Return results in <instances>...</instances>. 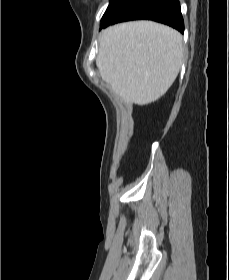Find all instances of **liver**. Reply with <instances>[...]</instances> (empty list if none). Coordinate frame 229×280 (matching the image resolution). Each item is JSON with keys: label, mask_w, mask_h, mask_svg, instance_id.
<instances>
[{"label": "liver", "mask_w": 229, "mask_h": 280, "mask_svg": "<svg viewBox=\"0 0 229 280\" xmlns=\"http://www.w3.org/2000/svg\"><path fill=\"white\" fill-rule=\"evenodd\" d=\"M182 59L178 31L152 21H135L102 32L96 65L115 94L126 103L142 106L168 91Z\"/></svg>", "instance_id": "1"}]
</instances>
